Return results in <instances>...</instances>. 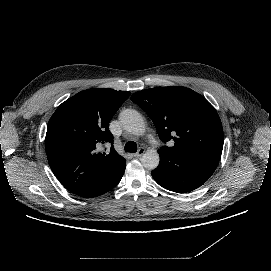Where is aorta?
<instances>
[{"label": "aorta", "mask_w": 271, "mask_h": 271, "mask_svg": "<svg viewBox=\"0 0 271 271\" xmlns=\"http://www.w3.org/2000/svg\"><path fill=\"white\" fill-rule=\"evenodd\" d=\"M119 120L123 128L134 135H139L145 131V123L142 115L134 109L122 110ZM143 167L147 170L156 169L159 165V154L156 150H147L140 158Z\"/></svg>", "instance_id": "aorta-1"}]
</instances>
